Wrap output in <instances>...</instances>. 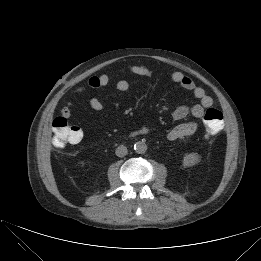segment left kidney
Wrapping results in <instances>:
<instances>
[{"label":"left kidney","mask_w":261,"mask_h":261,"mask_svg":"<svg viewBox=\"0 0 261 261\" xmlns=\"http://www.w3.org/2000/svg\"><path fill=\"white\" fill-rule=\"evenodd\" d=\"M201 160V156L198 153H189L185 154L183 157V166L184 167H190L195 164H198Z\"/></svg>","instance_id":"5707ae66"}]
</instances>
